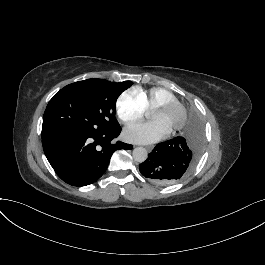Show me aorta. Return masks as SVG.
Instances as JSON below:
<instances>
[{
	"mask_svg": "<svg viewBox=\"0 0 265 265\" xmlns=\"http://www.w3.org/2000/svg\"><path fill=\"white\" fill-rule=\"evenodd\" d=\"M132 155L134 160L140 163L144 162L148 157L147 150L143 147H136Z\"/></svg>",
	"mask_w": 265,
	"mask_h": 265,
	"instance_id": "1",
	"label": "aorta"
}]
</instances>
